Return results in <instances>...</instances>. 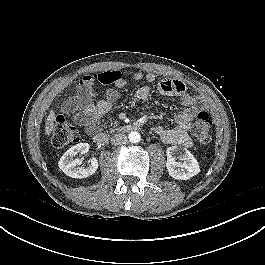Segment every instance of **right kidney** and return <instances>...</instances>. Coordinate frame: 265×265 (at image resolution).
Wrapping results in <instances>:
<instances>
[{
    "mask_svg": "<svg viewBox=\"0 0 265 265\" xmlns=\"http://www.w3.org/2000/svg\"><path fill=\"white\" fill-rule=\"evenodd\" d=\"M90 145L88 143H79L72 146L60 158L58 166L69 177L72 178H86L95 173L98 169V161L92 158L88 161L87 167H81L82 160L74 158L78 154H85L89 151Z\"/></svg>",
    "mask_w": 265,
    "mask_h": 265,
    "instance_id": "ca27d5eb",
    "label": "right kidney"
}]
</instances>
